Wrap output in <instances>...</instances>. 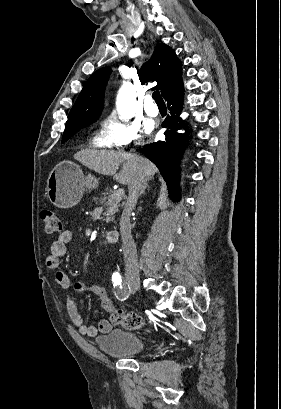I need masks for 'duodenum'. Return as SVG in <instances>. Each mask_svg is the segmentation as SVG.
I'll use <instances>...</instances> for the list:
<instances>
[{"mask_svg":"<svg viewBox=\"0 0 281 409\" xmlns=\"http://www.w3.org/2000/svg\"><path fill=\"white\" fill-rule=\"evenodd\" d=\"M119 237H120V234H119L117 231H109V232L106 234V241H107L109 244L114 245V244H116V243L118 242Z\"/></svg>","mask_w":281,"mask_h":409,"instance_id":"410a0bca","label":"duodenum"}]
</instances>
